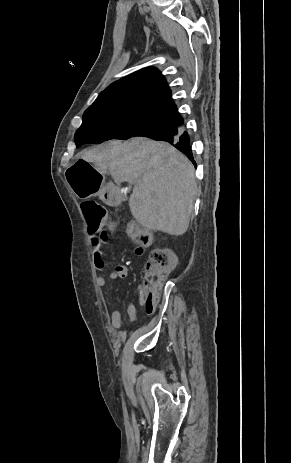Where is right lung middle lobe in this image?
<instances>
[{"instance_id": "dd1d6c3e", "label": "right lung middle lobe", "mask_w": 291, "mask_h": 463, "mask_svg": "<svg viewBox=\"0 0 291 463\" xmlns=\"http://www.w3.org/2000/svg\"><path fill=\"white\" fill-rule=\"evenodd\" d=\"M168 126L166 120L150 115L87 109L74 138L76 147H79L82 144H99L111 139L145 137Z\"/></svg>"}]
</instances>
